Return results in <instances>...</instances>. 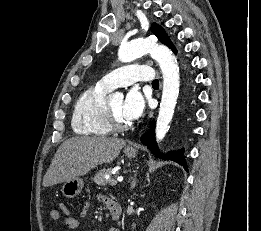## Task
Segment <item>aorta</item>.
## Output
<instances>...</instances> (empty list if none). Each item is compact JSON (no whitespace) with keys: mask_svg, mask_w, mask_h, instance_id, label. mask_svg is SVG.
<instances>
[{"mask_svg":"<svg viewBox=\"0 0 261 231\" xmlns=\"http://www.w3.org/2000/svg\"><path fill=\"white\" fill-rule=\"evenodd\" d=\"M145 54H150L159 63L163 74V92L156 124V139L161 141L169 130V123L177 103L180 86L179 68L175 56L166 46L141 39L121 44L118 58L121 62H130ZM111 97L123 99V94L116 92Z\"/></svg>","mask_w":261,"mask_h":231,"instance_id":"aorta-1","label":"aorta"}]
</instances>
